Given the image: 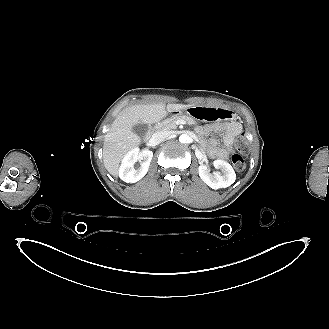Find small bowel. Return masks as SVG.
I'll list each match as a JSON object with an SVG mask.
<instances>
[{"label":"small bowel","mask_w":329,"mask_h":329,"mask_svg":"<svg viewBox=\"0 0 329 329\" xmlns=\"http://www.w3.org/2000/svg\"><path fill=\"white\" fill-rule=\"evenodd\" d=\"M205 131L210 134L222 135L221 144L216 138H211L208 141V149L212 156L218 159H226L230 155L235 154V139L242 133V128L238 123L228 125L224 131L215 127L214 123L208 121L204 125Z\"/></svg>","instance_id":"obj_1"}]
</instances>
